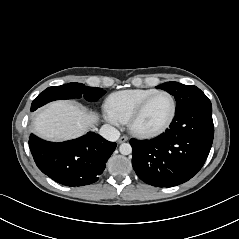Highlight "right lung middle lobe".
I'll return each mask as SVG.
<instances>
[{
    "mask_svg": "<svg viewBox=\"0 0 239 239\" xmlns=\"http://www.w3.org/2000/svg\"><path fill=\"white\" fill-rule=\"evenodd\" d=\"M106 93L102 88L87 87L81 83H68L61 86L49 87L34 99L31 111L42 105L58 99H79L84 98L88 102H96Z\"/></svg>",
    "mask_w": 239,
    "mask_h": 239,
    "instance_id": "obj_1",
    "label": "right lung middle lobe"
}]
</instances>
